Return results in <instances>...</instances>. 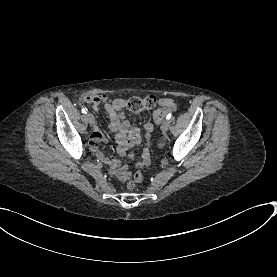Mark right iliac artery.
<instances>
[{
	"instance_id": "1",
	"label": "right iliac artery",
	"mask_w": 277,
	"mask_h": 277,
	"mask_svg": "<svg viewBox=\"0 0 277 277\" xmlns=\"http://www.w3.org/2000/svg\"><path fill=\"white\" fill-rule=\"evenodd\" d=\"M82 113H85V114H86V113H87V109H86V108H83V109H82Z\"/></svg>"
}]
</instances>
